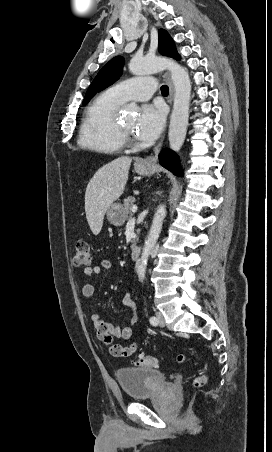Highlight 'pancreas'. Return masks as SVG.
I'll return each instance as SVG.
<instances>
[{
	"label": "pancreas",
	"instance_id": "pancreas-1",
	"mask_svg": "<svg viewBox=\"0 0 272 452\" xmlns=\"http://www.w3.org/2000/svg\"><path fill=\"white\" fill-rule=\"evenodd\" d=\"M135 201H136L135 197H132V196L124 199L123 205H124V211H125V214L127 217L128 216L130 217L132 215V207H133ZM139 233H140V230L138 229L137 234H139ZM136 242H137V239L132 240L131 248H134L136 246Z\"/></svg>",
	"mask_w": 272,
	"mask_h": 452
}]
</instances>
